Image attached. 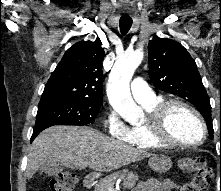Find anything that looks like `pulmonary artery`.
<instances>
[{
	"instance_id": "obj_1",
	"label": "pulmonary artery",
	"mask_w": 221,
	"mask_h": 191,
	"mask_svg": "<svg viewBox=\"0 0 221 191\" xmlns=\"http://www.w3.org/2000/svg\"><path fill=\"white\" fill-rule=\"evenodd\" d=\"M130 89L133 98L139 103H149L156 98L154 91L142 78H135Z\"/></svg>"
}]
</instances>
